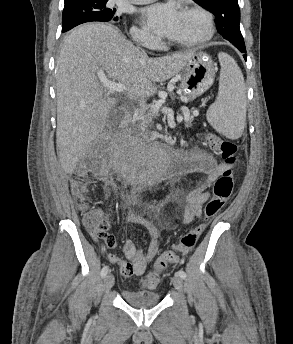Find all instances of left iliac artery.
<instances>
[{"instance_id": "1", "label": "left iliac artery", "mask_w": 293, "mask_h": 344, "mask_svg": "<svg viewBox=\"0 0 293 344\" xmlns=\"http://www.w3.org/2000/svg\"><path fill=\"white\" fill-rule=\"evenodd\" d=\"M176 275H178L179 277L185 279L186 278V273L183 270H178L176 272Z\"/></svg>"}]
</instances>
